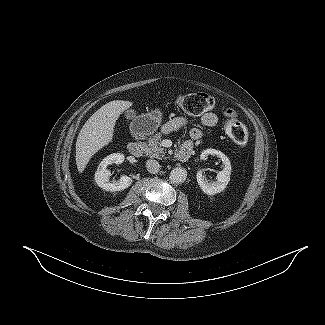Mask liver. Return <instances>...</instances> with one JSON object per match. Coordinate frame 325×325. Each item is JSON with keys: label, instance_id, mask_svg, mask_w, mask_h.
Segmentation results:
<instances>
[{"label": "liver", "instance_id": "1", "mask_svg": "<svg viewBox=\"0 0 325 325\" xmlns=\"http://www.w3.org/2000/svg\"><path fill=\"white\" fill-rule=\"evenodd\" d=\"M131 106L130 101L114 100L103 105L86 121L76 142V165L80 173L92 156L112 141L116 121Z\"/></svg>", "mask_w": 325, "mask_h": 325}]
</instances>
